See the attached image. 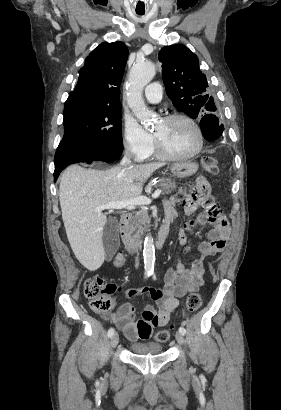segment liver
I'll use <instances>...</instances> for the list:
<instances>
[{"instance_id": "6515ba94", "label": "liver", "mask_w": 281, "mask_h": 410, "mask_svg": "<svg viewBox=\"0 0 281 410\" xmlns=\"http://www.w3.org/2000/svg\"><path fill=\"white\" fill-rule=\"evenodd\" d=\"M164 163L117 166L107 170L71 165L62 174L59 200L67 238L74 255L88 270L105 260L102 235L106 214L95 208L141 195L143 184Z\"/></svg>"}]
</instances>
